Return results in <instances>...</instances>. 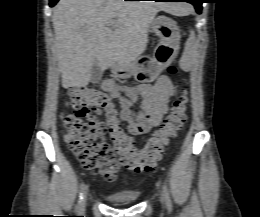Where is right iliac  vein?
Returning <instances> with one entry per match:
<instances>
[{
    "instance_id": "obj_1",
    "label": "right iliac vein",
    "mask_w": 260,
    "mask_h": 217,
    "mask_svg": "<svg viewBox=\"0 0 260 217\" xmlns=\"http://www.w3.org/2000/svg\"><path fill=\"white\" fill-rule=\"evenodd\" d=\"M86 198H87V191L84 192V196L81 202V207L79 212H83L86 204Z\"/></svg>"
}]
</instances>
